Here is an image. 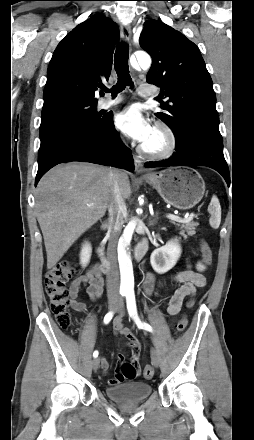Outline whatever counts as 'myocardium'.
Here are the masks:
<instances>
[{
	"label": "myocardium",
	"instance_id": "obj_1",
	"mask_svg": "<svg viewBox=\"0 0 254 440\" xmlns=\"http://www.w3.org/2000/svg\"><path fill=\"white\" fill-rule=\"evenodd\" d=\"M154 130L159 131L164 137V145L157 150H149L144 145L139 147V152L147 158L161 160L170 157L176 150L177 138L173 129L164 121H158Z\"/></svg>",
	"mask_w": 254,
	"mask_h": 440
}]
</instances>
